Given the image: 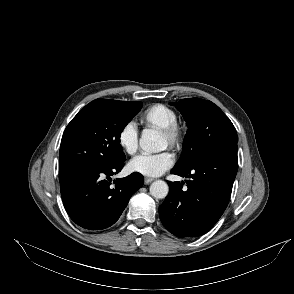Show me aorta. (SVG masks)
I'll list each match as a JSON object with an SVG mask.
<instances>
[{"mask_svg":"<svg viewBox=\"0 0 294 294\" xmlns=\"http://www.w3.org/2000/svg\"><path fill=\"white\" fill-rule=\"evenodd\" d=\"M139 144L145 152H159L161 150V137L156 131L146 129L141 134ZM149 190L154 198L163 199L167 196L169 187L166 182L157 180L151 184Z\"/></svg>","mask_w":294,"mask_h":294,"instance_id":"762f6f07","label":"aorta"}]
</instances>
